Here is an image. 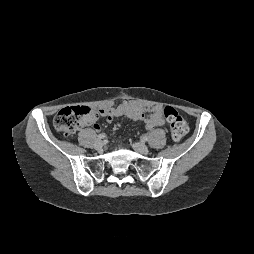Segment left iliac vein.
<instances>
[{
    "mask_svg": "<svg viewBox=\"0 0 254 254\" xmlns=\"http://www.w3.org/2000/svg\"><path fill=\"white\" fill-rule=\"evenodd\" d=\"M132 146H133V149L138 153L146 154L148 152V147L144 143L135 142L133 143Z\"/></svg>",
    "mask_w": 254,
    "mask_h": 254,
    "instance_id": "1",
    "label": "left iliac vein"
}]
</instances>
